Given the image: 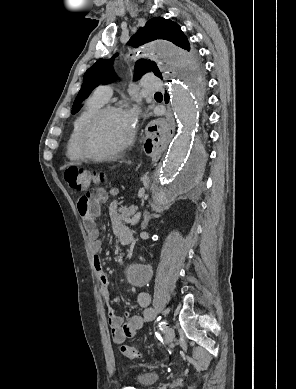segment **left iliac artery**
Wrapping results in <instances>:
<instances>
[{"label": "left iliac artery", "instance_id": "left-iliac-artery-1", "mask_svg": "<svg viewBox=\"0 0 296 389\" xmlns=\"http://www.w3.org/2000/svg\"><path fill=\"white\" fill-rule=\"evenodd\" d=\"M159 328H160V330L165 332L168 329V325H167V323L165 321H162V322L159 323Z\"/></svg>", "mask_w": 296, "mask_h": 389}]
</instances>
